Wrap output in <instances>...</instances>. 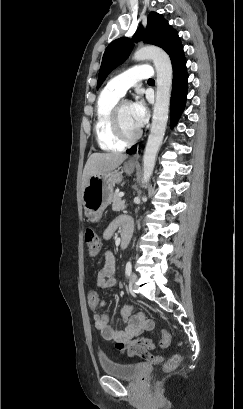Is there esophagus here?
Returning a JSON list of instances; mask_svg holds the SVG:
<instances>
[{
  "mask_svg": "<svg viewBox=\"0 0 243 409\" xmlns=\"http://www.w3.org/2000/svg\"><path fill=\"white\" fill-rule=\"evenodd\" d=\"M139 160V153L136 152L131 158H130V163H137Z\"/></svg>",
  "mask_w": 243,
  "mask_h": 409,
  "instance_id": "esophagus-1",
  "label": "esophagus"
}]
</instances>
